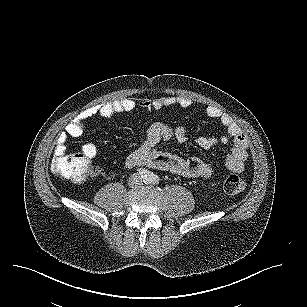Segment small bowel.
I'll use <instances>...</instances> for the list:
<instances>
[{"label":"small bowel","mask_w":307,"mask_h":307,"mask_svg":"<svg viewBox=\"0 0 307 307\" xmlns=\"http://www.w3.org/2000/svg\"><path fill=\"white\" fill-rule=\"evenodd\" d=\"M192 101L186 97L164 96L151 101H142L139 106L146 110H160L166 107L180 106L187 108L191 106ZM137 106L131 98L111 103L93 106L83 110L65 127L57 139V145L54 151L55 157L66 155V144L70 138L81 136L87 127L88 121L99 116L102 119H110L120 113L130 112ZM206 114L212 119H217L225 128V134L220 138L201 136L196 138V144L202 149H210L218 143L231 144L232 148L226 157L225 163L229 170L241 172L244 169L245 161L248 158V140L238 124L233 118L222 110L209 106L206 108ZM176 139L183 143L189 139L188 130L184 126H178L174 129L157 124L148 131L142 144L132 151L126 159L128 167L147 165L157 169L170 171L172 173L189 178H209L214 175L215 167L199 158L192 157L183 159L179 156L170 155L157 150L162 141ZM83 154L88 159H92L97 154V147L93 143H87L82 147Z\"/></svg>","instance_id":"obj_1"}]
</instances>
